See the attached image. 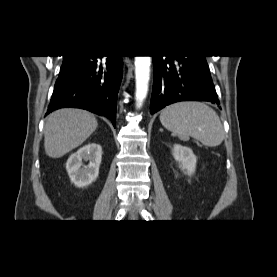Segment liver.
I'll list each match as a JSON object with an SVG mask.
<instances>
[{
  "label": "liver",
  "instance_id": "6515ba94",
  "mask_svg": "<svg viewBox=\"0 0 277 277\" xmlns=\"http://www.w3.org/2000/svg\"><path fill=\"white\" fill-rule=\"evenodd\" d=\"M93 114L81 109L51 113L44 127V148L49 157L60 158L80 146L97 128Z\"/></svg>",
  "mask_w": 277,
  "mask_h": 277
}]
</instances>
